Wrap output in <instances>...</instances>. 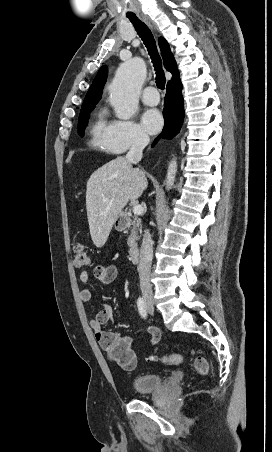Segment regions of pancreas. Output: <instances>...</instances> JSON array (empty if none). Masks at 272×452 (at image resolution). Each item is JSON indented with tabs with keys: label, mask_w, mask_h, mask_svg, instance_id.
I'll list each match as a JSON object with an SVG mask.
<instances>
[{
	"label": "pancreas",
	"mask_w": 272,
	"mask_h": 452,
	"mask_svg": "<svg viewBox=\"0 0 272 452\" xmlns=\"http://www.w3.org/2000/svg\"><path fill=\"white\" fill-rule=\"evenodd\" d=\"M132 228H131V234L127 240L128 245L130 246H136V240L138 239V229L141 226V220L135 217L133 221L131 222Z\"/></svg>",
	"instance_id": "obj_1"
}]
</instances>
